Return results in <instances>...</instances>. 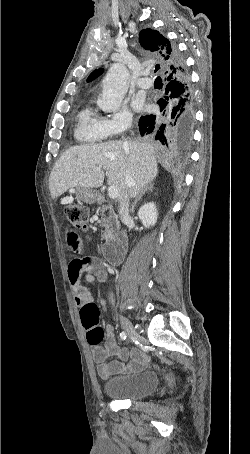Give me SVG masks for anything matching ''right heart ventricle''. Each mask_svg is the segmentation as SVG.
I'll return each mask as SVG.
<instances>
[{
    "label": "right heart ventricle",
    "instance_id": "e07e8e85",
    "mask_svg": "<svg viewBox=\"0 0 250 454\" xmlns=\"http://www.w3.org/2000/svg\"><path fill=\"white\" fill-rule=\"evenodd\" d=\"M102 118L87 106L79 112L74 137L77 141L95 144L104 140L105 133L101 125Z\"/></svg>",
    "mask_w": 250,
    "mask_h": 454
}]
</instances>
